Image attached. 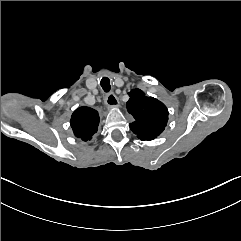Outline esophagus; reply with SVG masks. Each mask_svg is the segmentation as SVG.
Masks as SVG:
<instances>
[{
  "label": "esophagus",
  "instance_id": "1",
  "mask_svg": "<svg viewBox=\"0 0 241 241\" xmlns=\"http://www.w3.org/2000/svg\"><path fill=\"white\" fill-rule=\"evenodd\" d=\"M105 105L108 108H114V107H119V101L116 97V95L114 93H109L106 97H105Z\"/></svg>",
  "mask_w": 241,
  "mask_h": 241
}]
</instances>
